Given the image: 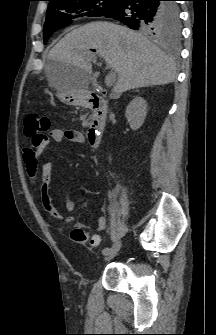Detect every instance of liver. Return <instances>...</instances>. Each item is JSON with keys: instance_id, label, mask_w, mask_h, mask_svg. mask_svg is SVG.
<instances>
[{"instance_id": "obj_1", "label": "liver", "mask_w": 216, "mask_h": 335, "mask_svg": "<svg viewBox=\"0 0 216 335\" xmlns=\"http://www.w3.org/2000/svg\"><path fill=\"white\" fill-rule=\"evenodd\" d=\"M101 55L117 74L113 93L165 85L176 78V65L143 35L109 22H92L66 34L49 52L46 72L51 86L63 76L74 89L88 85L91 51Z\"/></svg>"}]
</instances>
